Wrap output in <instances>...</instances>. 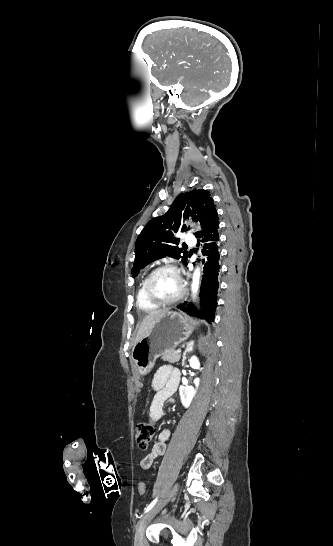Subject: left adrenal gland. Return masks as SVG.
I'll use <instances>...</instances> for the list:
<instances>
[{
    "instance_id": "1",
    "label": "left adrenal gland",
    "mask_w": 333,
    "mask_h": 546,
    "mask_svg": "<svg viewBox=\"0 0 333 546\" xmlns=\"http://www.w3.org/2000/svg\"><path fill=\"white\" fill-rule=\"evenodd\" d=\"M193 347H194V341L193 340L186 343V347H185V350H184V353H183V358H182V366L185 365L186 354L189 353V352H192Z\"/></svg>"
}]
</instances>
